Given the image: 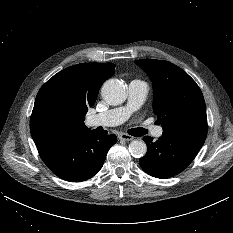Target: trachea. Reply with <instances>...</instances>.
<instances>
[{"instance_id": "trachea-1", "label": "trachea", "mask_w": 233, "mask_h": 233, "mask_svg": "<svg viewBox=\"0 0 233 233\" xmlns=\"http://www.w3.org/2000/svg\"><path fill=\"white\" fill-rule=\"evenodd\" d=\"M128 132L132 136L139 137L145 135L147 133V130L144 128H135V129H130Z\"/></svg>"}]
</instances>
